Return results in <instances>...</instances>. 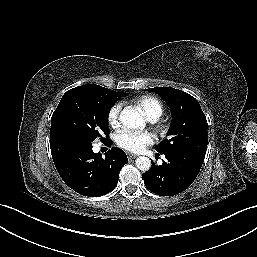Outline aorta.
Returning <instances> with one entry per match:
<instances>
[{
	"instance_id": "obj_1",
	"label": "aorta",
	"mask_w": 257,
	"mask_h": 257,
	"mask_svg": "<svg viewBox=\"0 0 257 257\" xmlns=\"http://www.w3.org/2000/svg\"><path fill=\"white\" fill-rule=\"evenodd\" d=\"M121 123L131 129L144 128L145 122L142 115L129 107L123 109L119 117ZM136 167L141 171H148L151 167V160L148 157L140 156L135 161Z\"/></svg>"
}]
</instances>
